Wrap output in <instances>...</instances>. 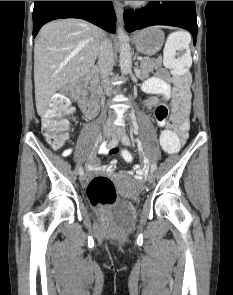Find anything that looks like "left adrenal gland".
<instances>
[{"mask_svg":"<svg viewBox=\"0 0 233 295\" xmlns=\"http://www.w3.org/2000/svg\"><path fill=\"white\" fill-rule=\"evenodd\" d=\"M136 57H137V54L135 55V58H134L135 60H136ZM136 66H138V62H136Z\"/></svg>","mask_w":233,"mask_h":295,"instance_id":"a2214340","label":"left adrenal gland"}]
</instances>
